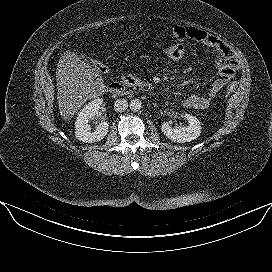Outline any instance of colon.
Masks as SVG:
<instances>
[{
  "label": "colon",
  "instance_id": "colon-1",
  "mask_svg": "<svg viewBox=\"0 0 272 272\" xmlns=\"http://www.w3.org/2000/svg\"><path fill=\"white\" fill-rule=\"evenodd\" d=\"M163 54L170 61L179 62L187 57L188 51L186 47L180 43H171L163 48ZM99 67L104 68L103 65H100ZM237 88L238 84L236 82L230 83L226 88V94L235 92Z\"/></svg>",
  "mask_w": 272,
  "mask_h": 272
}]
</instances>
